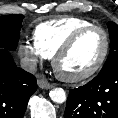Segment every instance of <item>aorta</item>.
Listing matches in <instances>:
<instances>
[{"label":"aorta","instance_id":"1","mask_svg":"<svg viewBox=\"0 0 118 118\" xmlns=\"http://www.w3.org/2000/svg\"><path fill=\"white\" fill-rule=\"evenodd\" d=\"M49 96L55 103H64L66 101V93L62 88H54L50 91Z\"/></svg>","mask_w":118,"mask_h":118}]
</instances>
